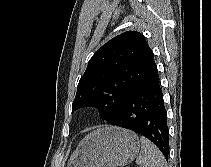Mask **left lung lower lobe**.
<instances>
[{"mask_svg": "<svg viewBox=\"0 0 211 167\" xmlns=\"http://www.w3.org/2000/svg\"><path fill=\"white\" fill-rule=\"evenodd\" d=\"M108 124L135 131L151 140L168 160L169 132L157 69L135 90Z\"/></svg>", "mask_w": 211, "mask_h": 167, "instance_id": "0a47b994", "label": "left lung lower lobe"}]
</instances>
